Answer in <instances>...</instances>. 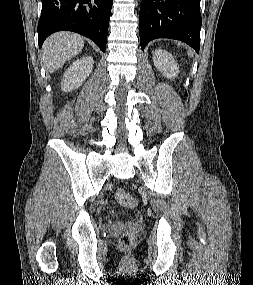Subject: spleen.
I'll return each mask as SVG.
<instances>
[{
    "label": "spleen",
    "instance_id": "spleen-1",
    "mask_svg": "<svg viewBox=\"0 0 253 285\" xmlns=\"http://www.w3.org/2000/svg\"><path fill=\"white\" fill-rule=\"evenodd\" d=\"M188 55H192V51L191 50H188Z\"/></svg>",
    "mask_w": 253,
    "mask_h": 285
}]
</instances>
